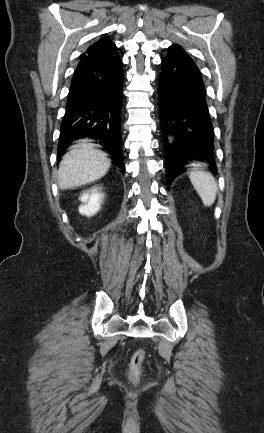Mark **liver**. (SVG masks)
Returning <instances> with one entry per match:
<instances>
[{
    "label": "liver",
    "mask_w": 264,
    "mask_h": 433,
    "mask_svg": "<svg viewBox=\"0 0 264 433\" xmlns=\"http://www.w3.org/2000/svg\"><path fill=\"white\" fill-rule=\"evenodd\" d=\"M109 168L107 154L83 140L63 156L58 169L59 188H77L94 182L101 179Z\"/></svg>",
    "instance_id": "liver-1"
}]
</instances>
